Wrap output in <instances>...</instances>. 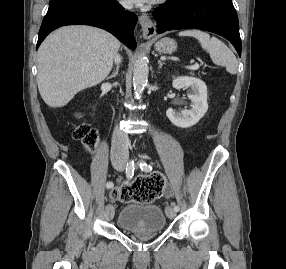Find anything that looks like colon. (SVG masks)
<instances>
[{
  "label": "colon",
  "mask_w": 286,
  "mask_h": 269,
  "mask_svg": "<svg viewBox=\"0 0 286 269\" xmlns=\"http://www.w3.org/2000/svg\"><path fill=\"white\" fill-rule=\"evenodd\" d=\"M72 135L88 150H92L98 142L97 130L85 123L75 125ZM165 182V177L160 173L149 176L139 175L131 183L115 186L110 192V199L118 202L138 201L148 203L160 196Z\"/></svg>",
  "instance_id": "1"
}]
</instances>
